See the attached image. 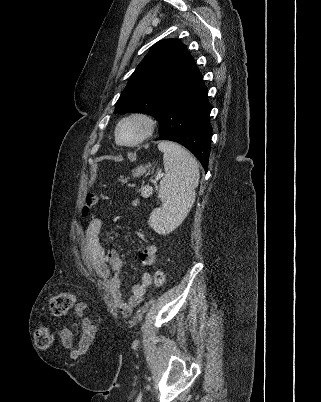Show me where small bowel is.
I'll use <instances>...</instances> for the list:
<instances>
[{
  "label": "small bowel",
  "mask_w": 321,
  "mask_h": 402,
  "mask_svg": "<svg viewBox=\"0 0 321 402\" xmlns=\"http://www.w3.org/2000/svg\"><path fill=\"white\" fill-rule=\"evenodd\" d=\"M102 227L100 218H92L89 222L86 236L93 261V267L97 275L104 278L108 284V288L112 299L124 317H129L133 309L139 306L144 298L147 287L151 283V277L148 272H143L139 283L132 287V293L128 300L123 296L122 284L119 271L123 264V258L120 252L114 247H105L99 234ZM139 236L145 240L142 233ZM157 249L153 244L148 243L138 255L141 266L149 267L153 265L156 258ZM76 313L81 315L85 309L83 302L76 304ZM83 328L85 334H80V344H74L72 334L68 328H55L61 344L69 350L71 358H85L87 347H92L93 340L91 335H96L97 328L94 326L93 320H84Z\"/></svg>",
  "instance_id": "small-bowel-1"
}]
</instances>
